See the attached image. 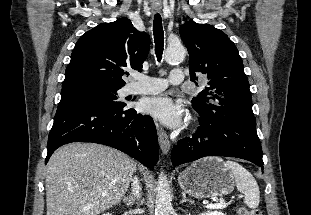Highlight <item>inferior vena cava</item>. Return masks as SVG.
<instances>
[{"label": "inferior vena cava", "mask_w": 311, "mask_h": 215, "mask_svg": "<svg viewBox=\"0 0 311 215\" xmlns=\"http://www.w3.org/2000/svg\"><path fill=\"white\" fill-rule=\"evenodd\" d=\"M132 191L135 196L139 197L140 196V185L138 179L135 177L132 180Z\"/></svg>", "instance_id": "obj_1"}]
</instances>
